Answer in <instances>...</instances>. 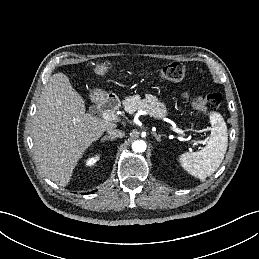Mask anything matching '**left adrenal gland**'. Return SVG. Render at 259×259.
Listing matches in <instances>:
<instances>
[{"label": "left adrenal gland", "mask_w": 259, "mask_h": 259, "mask_svg": "<svg viewBox=\"0 0 259 259\" xmlns=\"http://www.w3.org/2000/svg\"><path fill=\"white\" fill-rule=\"evenodd\" d=\"M152 135L155 137V139H156L158 142H161V137H162V136H166V135H158V134L155 133V132H152Z\"/></svg>", "instance_id": "a2214340"}]
</instances>
